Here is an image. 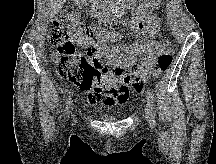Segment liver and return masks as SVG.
I'll use <instances>...</instances> for the list:
<instances>
[{
	"label": "liver",
	"instance_id": "6515ba94",
	"mask_svg": "<svg viewBox=\"0 0 216 164\" xmlns=\"http://www.w3.org/2000/svg\"><path fill=\"white\" fill-rule=\"evenodd\" d=\"M54 1L52 15L57 14V12L61 9L65 0H52Z\"/></svg>",
	"mask_w": 216,
	"mask_h": 164
}]
</instances>
